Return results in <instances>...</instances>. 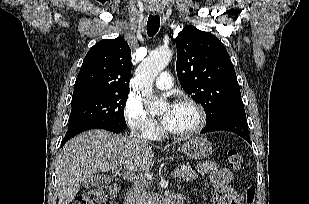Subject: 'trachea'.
<instances>
[{"mask_svg": "<svg viewBox=\"0 0 309 204\" xmlns=\"http://www.w3.org/2000/svg\"><path fill=\"white\" fill-rule=\"evenodd\" d=\"M160 27V17L158 15H150L147 22V33L149 36H154Z\"/></svg>", "mask_w": 309, "mask_h": 204, "instance_id": "obj_1", "label": "trachea"}]
</instances>
